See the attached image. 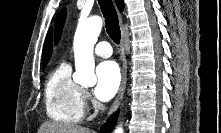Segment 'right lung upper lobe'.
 Masks as SVG:
<instances>
[{
	"mask_svg": "<svg viewBox=\"0 0 221 133\" xmlns=\"http://www.w3.org/2000/svg\"><path fill=\"white\" fill-rule=\"evenodd\" d=\"M116 1V4H117V7L119 9L120 12L123 11L124 9V2L123 0H115ZM51 30L48 32V35L46 37V40H45V44H44V47H43V54H42V63L43 65L44 64H47V62L49 61L50 59V56H51V51H52V36H51Z\"/></svg>",
	"mask_w": 221,
	"mask_h": 133,
	"instance_id": "obj_1",
	"label": "right lung upper lobe"
}]
</instances>
